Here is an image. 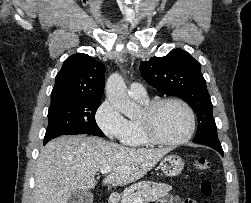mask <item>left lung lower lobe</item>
Masks as SVG:
<instances>
[{"mask_svg": "<svg viewBox=\"0 0 251 203\" xmlns=\"http://www.w3.org/2000/svg\"><path fill=\"white\" fill-rule=\"evenodd\" d=\"M211 148L215 149L216 151H218L222 156H223V149L221 147V145H212L210 146Z\"/></svg>", "mask_w": 251, "mask_h": 203, "instance_id": "obj_1", "label": "left lung lower lobe"}]
</instances>
